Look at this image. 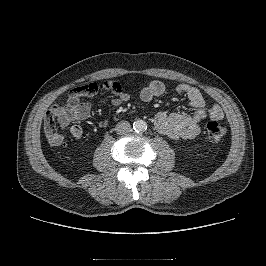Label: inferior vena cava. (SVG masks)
Segmentation results:
<instances>
[{"label":"inferior vena cava","instance_id":"obj_1","mask_svg":"<svg viewBox=\"0 0 266 266\" xmlns=\"http://www.w3.org/2000/svg\"><path fill=\"white\" fill-rule=\"evenodd\" d=\"M115 130L117 134L123 135L131 131V125L127 121H120L117 123Z\"/></svg>","mask_w":266,"mask_h":266}]
</instances>
